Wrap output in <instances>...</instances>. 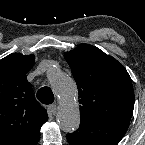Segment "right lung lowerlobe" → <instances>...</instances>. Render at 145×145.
I'll list each match as a JSON object with an SVG mask.
<instances>
[{"instance_id": "obj_1", "label": "right lung lower lobe", "mask_w": 145, "mask_h": 145, "mask_svg": "<svg viewBox=\"0 0 145 145\" xmlns=\"http://www.w3.org/2000/svg\"><path fill=\"white\" fill-rule=\"evenodd\" d=\"M39 137H40V135H38V136H36V137L30 139L29 141H27V142H26L25 144H23V145H36L37 142L39 141Z\"/></svg>"}]
</instances>
